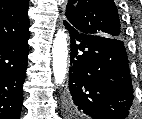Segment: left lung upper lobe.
<instances>
[{"label": "left lung upper lobe", "instance_id": "5c2ea615", "mask_svg": "<svg viewBox=\"0 0 142 119\" xmlns=\"http://www.w3.org/2000/svg\"><path fill=\"white\" fill-rule=\"evenodd\" d=\"M64 20L77 31L108 38L123 36L113 0H69Z\"/></svg>", "mask_w": 142, "mask_h": 119}]
</instances>
